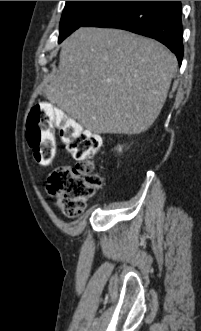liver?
Returning a JSON list of instances; mask_svg holds the SVG:
<instances>
[{"label":"liver","mask_w":201,"mask_h":331,"mask_svg":"<svg viewBox=\"0 0 201 331\" xmlns=\"http://www.w3.org/2000/svg\"><path fill=\"white\" fill-rule=\"evenodd\" d=\"M177 70L160 42L81 27L63 43L46 98L94 133L140 134L156 120Z\"/></svg>","instance_id":"liver-1"}]
</instances>
